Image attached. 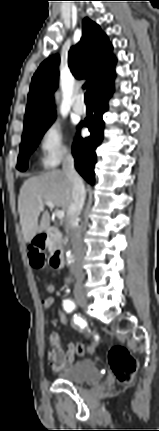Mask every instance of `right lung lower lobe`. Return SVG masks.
Instances as JSON below:
<instances>
[{"label":"right lung lower lobe","instance_id":"obj_1","mask_svg":"<svg viewBox=\"0 0 159 431\" xmlns=\"http://www.w3.org/2000/svg\"><path fill=\"white\" fill-rule=\"evenodd\" d=\"M114 91L113 79L95 92L94 115L85 119L78 126V135L73 143L72 153L75 158V168L80 175L91 185L95 183L94 166L97 162L95 149L103 140L104 121L103 114L108 110V100ZM89 128L91 135L80 137V128Z\"/></svg>","mask_w":159,"mask_h":431}]
</instances>
